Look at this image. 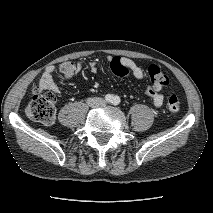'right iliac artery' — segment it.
Segmentation results:
<instances>
[{
  "mask_svg": "<svg viewBox=\"0 0 213 213\" xmlns=\"http://www.w3.org/2000/svg\"><path fill=\"white\" fill-rule=\"evenodd\" d=\"M113 96L111 95V94H107L106 96H105V100L107 101V102H112L113 101Z\"/></svg>",
  "mask_w": 213,
  "mask_h": 213,
  "instance_id": "obj_1",
  "label": "right iliac artery"
}]
</instances>
